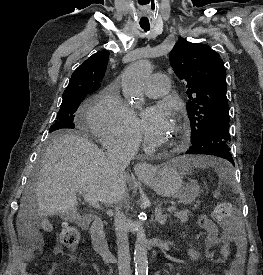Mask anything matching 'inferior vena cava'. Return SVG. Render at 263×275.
Listing matches in <instances>:
<instances>
[{
  "instance_id": "602c4592",
  "label": "inferior vena cava",
  "mask_w": 263,
  "mask_h": 275,
  "mask_svg": "<svg viewBox=\"0 0 263 275\" xmlns=\"http://www.w3.org/2000/svg\"><path fill=\"white\" fill-rule=\"evenodd\" d=\"M135 152L125 143H118L107 149V160L111 166V171L116 179L125 183V169L129 165ZM121 201L118 200L114 217L116 232V243L118 248V270L119 275H130V252L128 241V220L121 209Z\"/></svg>"
}]
</instances>
